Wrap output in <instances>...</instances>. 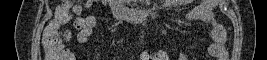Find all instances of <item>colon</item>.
<instances>
[{
	"mask_svg": "<svg viewBox=\"0 0 267 60\" xmlns=\"http://www.w3.org/2000/svg\"><path fill=\"white\" fill-rule=\"evenodd\" d=\"M69 6L62 7L58 13L54 22L56 23V29L47 31L42 40V49L46 59L48 60H65L70 59L69 52L62 45L61 34L58 31V27L66 24L70 18ZM75 28L82 27V22L77 21L74 23Z\"/></svg>",
	"mask_w": 267,
	"mask_h": 60,
	"instance_id": "obj_1",
	"label": "colon"
}]
</instances>
